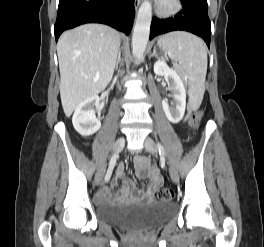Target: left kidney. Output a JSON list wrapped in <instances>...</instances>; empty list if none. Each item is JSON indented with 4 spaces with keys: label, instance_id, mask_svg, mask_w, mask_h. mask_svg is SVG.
<instances>
[{
    "label": "left kidney",
    "instance_id": "1",
    "mask_svg": "<svg viewBox=\"0 0 264 247\" xmlns=\"http://www.w3.org/2000/svg\"><path fill=\"white\" fill-rule=\"evenodd\" d=\"M154 73L158 76H164L173 101L171 105L167 100L162 101L163 110L167 119L172 123H179L184 116L186 109V91L181 77L171 69L164 60L159 59L154 63Z\"/></svg>",
    "mask_w": 264,
    "mask_h": 247
}]
</instances>
